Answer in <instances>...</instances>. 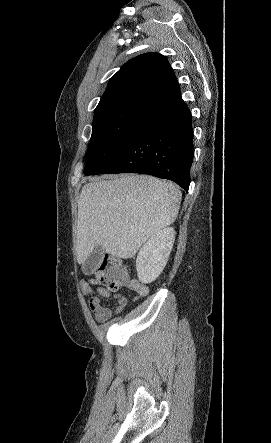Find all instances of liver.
I'll list each match as a JSON object with an SVG mask.
<instances>
[{
	"label": "liver",
	"instance_id": "6515ba94",
	"mask_svg": "<svg viewBox=\"0 0 271 443\" xmlns=\"http://www.w3.org/2000/svg\"><path fill=\"white\" fill-rule=\"evenodd\" d=\"M182 194L151 176H103L85 184L78 200L76 257L86 261L96 245L115 257H133L151 235L175 222Z\"/></svg>",
	"mask_w": 271,
	"mask_h": 443
}]
</instances>
